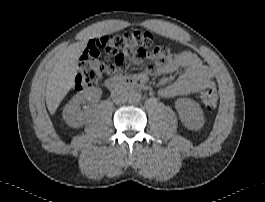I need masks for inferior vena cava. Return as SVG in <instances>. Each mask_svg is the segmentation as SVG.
Instances as JSON below:
<instances>
[{"label": "inferior vena cava", "instance_id": "1", "mask_svg": "<svg viewBox=\"0 0 265 202\" xmlns=\"http://www.w3.org/2000/svg\"><path fill=\"white\" fill-rule=\"evenodd\" d=\"M111 97L114 103L123 104L128 100V91L125 88H117L112 91Z\"/></svg>", "mask_w": 265, "mask_h": 202}]
</instances>
